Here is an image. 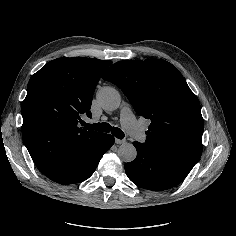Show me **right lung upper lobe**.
<instances>
[{
    "mask_svg": "<svg viewBox=\"0 0 236 236\" xmlns=\"http://www.w3.org/2000/svg\"><path fill=\"white\" fill-rule=\"evenodd\" d=\"M111 61L84 57L48 62L30 79L22 103L23 141L36 166L47 177L76 146L99 132L79 128L91 117L92 95Z\"/></svg>",
    "mask_w": 236,
    "mask_h": 236,
    "instance_id": "right-lung-upper-lobe-1",
    "label": "right lung upper lobe"
}]
</instances>
